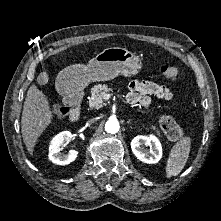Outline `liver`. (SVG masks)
Instances as JSON below:
<instances>
[{"label": "liver", "instance_id": "obj_1", "mask_svg": "<svg viewBox=\"0 0 221 221\" xmlns=\"http://www.w3.org/2000/svg\"><path fill=\"white\" fill-rule=\"evenodd\" d=\"M52 119L48 98L34 84L31 85L27 91L21 117V133L30 154H33L37 139L51 124Z\"/></svg>", "mask_w": 221, "mask_h": 221}]
</instances>
